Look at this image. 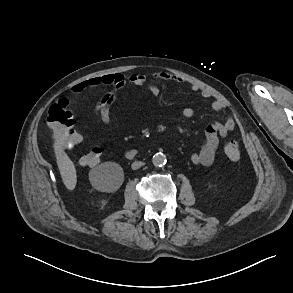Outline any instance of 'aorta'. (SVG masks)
Here are the masks:
<instances>
[{
  "instance_id": "762f6f07",
  "label": "aorta",
  "mask_w": 293,
  "mask_h": 293,
  "mask_svg": "<svg viewBox=\"0 0 293 293\" xmlns=\"http://www.w3.org/2000/svg\"><path fill=\"white\" fill-rule=\"evenodd\" d=\"M166 156L163 153H156L152 158L154 166L162 167L166 164Z\"/></svg>"
}]
</instances>
